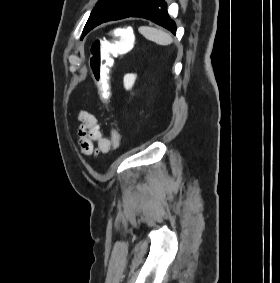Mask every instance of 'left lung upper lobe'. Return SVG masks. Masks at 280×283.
<instances>
[{
    "label": "left lung upper lobe",
    "mask_w": 280,
    "mask_h": 283,
    "mask_svg": "<svg viewBox=\"0 0 280 283\" xmlns=\"http://www.w3.org/2000/svg\"><path fill=\"white\" fill-rule=\"evenodd\" d=\"M146 0H99L84 27L83 36L97 25L117 17H128Z\"/></svg>",
    "instance_id": "5c2ea615"
}]
</instances>
